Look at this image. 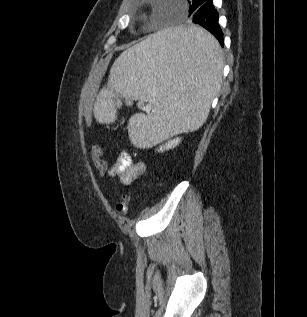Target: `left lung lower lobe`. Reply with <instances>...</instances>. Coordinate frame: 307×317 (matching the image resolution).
I'll return each instance as SVG.
<instances>
[{
  "mask_svg": "<svg viewBox=\"0 0 307 317\" xmlns=\"http://www.w3.org/2000/svg\"><path fill=\"white\" fill-rule=\"evenodd\" d=\"M219 15L213 5V0H199L195 5V10L192 14V22L199 24L211 34L224 46L223 33L218 23ZM172 45L175 47H184L191 50L202 59L212 60L216 56L215 50L197 39L192 37H175L171 39Z\"/></svg>",
  "mask_w": 307,
  "mask_h": 317,
  "instance_id": "obj_1",
  "label": "left lung lower lobe"
}]
</instances>
